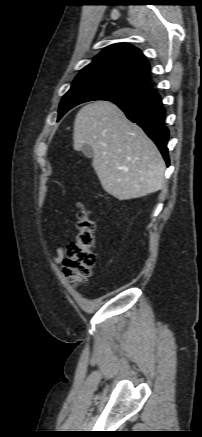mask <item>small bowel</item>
<instances>
[{
    "label": "small bowel",
    "instance_id": "obj_1",
    "mask_svg": "<svg viewBox=\"0 0 202 437\" xmlns=\"http://www.w3.org/2000/svg\"><path fill=\"white\" fill-rule=\"evenodd\" d=\"M64 258V250L62 246H57L56 248V254L53 256V260L55 263L59 264L62 262Z\"/></svg>",
    "mask_w": 202,
    "mask_h": 437
}]
</instances>
